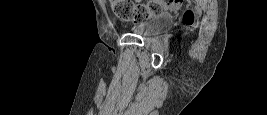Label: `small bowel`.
<instances>
[{
    "label": "small bowel",
    "instance_id": "c3829d8e",
    "mask_svg": "<svg viewBox=\"0 0 267 115\" xmlns=\"http://www.w3.org/2000/svg\"><path fill=\"white\" fill-rule=\"evenodd\" d=\"M161 4L166 10H169V11H177L181 7V2L176 1V0L166 1Z\"/></svg>",
    "mask_w": 267,
    "mask_h": 115
}]
</instances>
